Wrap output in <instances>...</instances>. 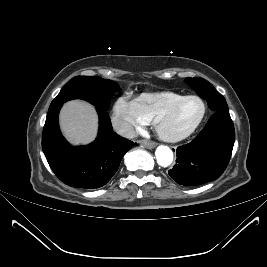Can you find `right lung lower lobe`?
Returning a JSON list of instances; mask_svg holds the SVG:
<instances>
[{
	"label": "right lung lower lobe",
	"mask_w": 267,
	"mask_h": 267,
	"mask_svg": "<svg viewBox=\"0 0 267 267\" xmlns=\"http://www.w3.org/2000/svg\"><path fill=\"white\" fill-rule=\"evenodd\" d=\"M61 106L48 110L42 134V149L51 169L69 186L84 189L102 187L116 173L124 154L135 143L114 133L106 110L96 107L99 115L97 138L87 146L73 148L59 129Z\"/></svg>",
	"instance_id": "98d812e1"
}]
</instances>
